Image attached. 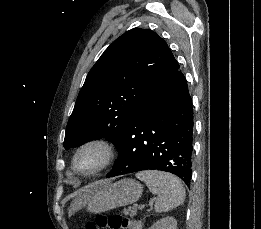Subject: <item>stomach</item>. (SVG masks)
<instances>
[{"label":"stomach","mask_w":261,"mask_h":229,"mask_svg":"<svg viewBox=\"0 0 261 229\" xmlns=\"http://www.w3.org/2000/svg\"><path fill=\"white\" fill-rule=\"evenodd\" d=\"M143 187L134 179L121 181H96L86 187L84 201L89 213H105L117 207H126L139 201Z\"/></svg>","instance_id":"stomach-1"}]
</instances>
